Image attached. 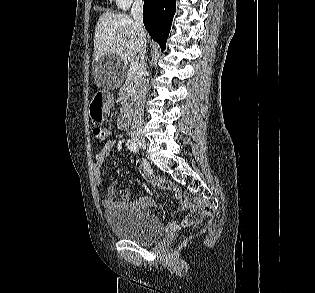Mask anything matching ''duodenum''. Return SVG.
<instances>
[{"mask_svg":"<svg viewBox=\"0 0 315 293\" xmlns=\"http://www.w3.org/2000/svg\"><path fill=\"white\" fill-rule=\"evenodd\" d=\"M131 124V112L128 108H125L119 118V126L122 129H127Z\"/></svg>","mask_w":315,"mask_h":293,"instance_id":"duodenum-1","label":"duodenum"}]
</instances>
